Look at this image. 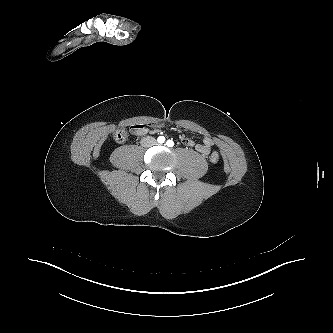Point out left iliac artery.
I'll return each mask as SVG.
<instances>
[{
	"instance_id": "1",
	"label": "left iliac artery",
	"mask_w": 333,
	"mask_h": 333,
	"mask_svg": "<svg viewBox=\"0 0 333 333\" xmlns=\"http://www.w3.org/2000/svg\"><path fill=\"white\" fill-rule=\"evenodd\" d=\"M166 144H167L168 147H173L174 146V142L172 140H168L166 142Z\"/></svg>"
}]
</instances>
